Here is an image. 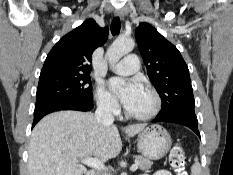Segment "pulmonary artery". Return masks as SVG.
<instances>
[{"label": "pulmonary artery", "mask_w": 233, "mask_h": 175, "mask_svg": "<svg viewBox=\"0 0 233 175\" xmlns=\"http://www.w3.org/2000/svg\"><path fill=\"white\" fill-rule=\"evenodd\" d=\"M140 61L135 54L127 55L123 60L112 66V70L120 75H131L138 71Z\"/></svg>", "instance_id": "pulmonary-artery-1"}]
</instances>
